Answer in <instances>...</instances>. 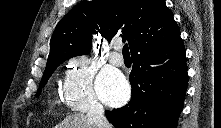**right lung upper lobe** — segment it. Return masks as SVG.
<instances>
[{
  "mask_svg": "<svg viewBox=\"0 0 221 128\" xmlns=\"http://www.w3.org/2000/svg\"><path fill=\"white\" fill-rule=\"evenodd\" d=\"M128 41L131 54L174 43L180 30L164 0H84L57 24L47 65L91 51L92 35Z\"/></svg>",
  "mask_w": 221,
  "mask_h": 128,
  "instance_id": "1",
  "label": "right lung upper lobe"
}]
</instances>
